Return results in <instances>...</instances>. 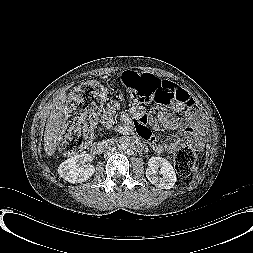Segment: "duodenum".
Listing matches in <instances>:
<instances>
[{
  "label": "duodenum",
  "instance_id": "duodenum-1",
  "mask_svg": "<svg viewBox=\"0 0 253 253\" xmlns=\"http://www.w3.org/2000/svg\"><path fill=\"white\" fill-rule=\"evenodd\" d=\"M121 142H124L127 146L130 145L129 142H127L126 140L124 139H121V140H118V141H115L114 144H120ZM110 145L109 144H102V143H95L91 146V153L94 154V155H98L102 152V150L104 149V147H109Z\"/></svg>",
  "mask_w": 253,
  "mask_h": 253
}]
</instances>
